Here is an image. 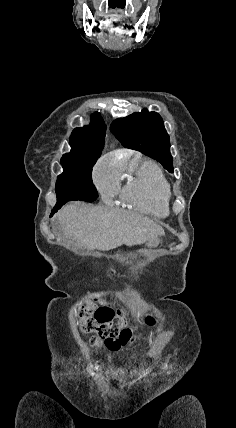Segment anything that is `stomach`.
I'll use <instances>...</instances> for the list:
<instances>
[{
	"mask_svg": "<svg viewBox=\"0 0 236 428\" xmlns=\"http://www.w3.org/2000/svg\"><path fill=\"white\" fill-rule=\"evenodd\" d=\"M159 242L160 240H158V238H155V240H151V242H148L147 246H149V248H156Z\"/></svg>",
	"mask_w": 236,
	"mask_h": 428,
	"instance_id": "0dacf381",
	"label": "stomach"
}]
</instances>
